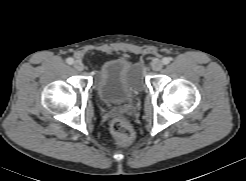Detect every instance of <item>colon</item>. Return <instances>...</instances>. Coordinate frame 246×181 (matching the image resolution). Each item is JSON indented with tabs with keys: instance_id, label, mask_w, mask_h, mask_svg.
<instances>
[{
	"instance_id": "colon-1",
	"label": "colon",
	"mask_w": 246,
	"mask_h": 181,
	"mask_svg": "<svg viewBox=\"0 0 246 181\" xmlns=\"http://www.w3.org/2000/svg\"><path fill=\"white\" fill-rule=\"evenodd\" d=\"M110 130L114 138L121 144H126L132 139L133 130L125 118L113 119L110 124Z\"/></svg>"
}]
</instances>
